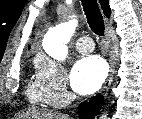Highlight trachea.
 Returning a JSON list of instances; mask_svg holds the SVG:
<instances>
[{"instance_id": "3493384b", "label": "trachea", "mask_w": 142, "mask_h": 119, "mask_svg": "<svg viewBox=\"0 0 142 119\" xmlns=\"http://www.w3.org/2000/svg\"><path fill=\"white\" fill-rule=\"evenodd\" d=\"M82 6L91 30L98 36L104 35V21L96 0H82Z\"/></svg>"}]
</instances>
